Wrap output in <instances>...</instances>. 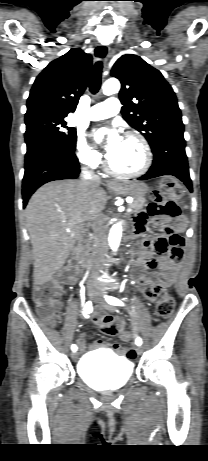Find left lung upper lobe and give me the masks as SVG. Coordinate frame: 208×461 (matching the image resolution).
<instances>
[{
  "mask_svg": "<svg viewBox=\"0 0 208 461\" xmlns=\"http://www.w3.org/2000/svg\"><path fill=\"white\" fill-rule=\"evenodd\" d=\"M111 75L121 82V113L141 132L152 152L168 140H184V124L177 98L161 72L134 54L121 56Z\"/></svg>",
  "mask_w": 208,
  "mask_h": 461,
  "instance_id": "left-lung-upper-lobe-1",
  "label": "left lung upper lobe"
}]
</instances>
